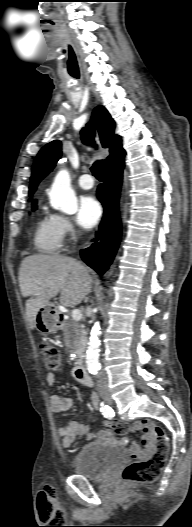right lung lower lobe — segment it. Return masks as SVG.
<instances>
[{
	"mask_svg": "<svg viewBox=\"0 0 192 527\" xmlns=\"http://www.w3.org/2000/svg\"><path fill=\"white\" fill-rule=\"evenodd\" d=\"M124 155L105 167L104 183L98 188V198L104 207V217L94 240L98 242L80 252L83 261L100 275L108 269L120 242L121 224L118 200L122 182Z\"/></svg>",
	"mask_w": 192,
	"mask_h": 527,
	"instance_id": "right-lung-lower-lobe-1",
	"label": "right lung lower lobe"
}]
</instances>
